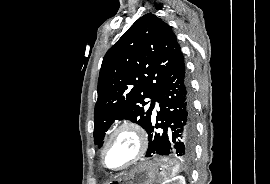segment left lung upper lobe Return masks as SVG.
I'll list each match as a JSON object with an SVG mask.
<instances>
[{"instance_id":"obj_1","label":"left lung upper lobe","mask_w":270,"mask_h":184,"mask_svg":"<svg viewBox=\"0 0 270 184\" xmlns=\"http://www.w3.org/2000/svg\"><path fill=\"white\" fill-rule=\"evenodd\" d=\"M181 54L171 27L148 13L107 51L98 79L94 143L102 146L114 120L129 119L147 130L157 93ZM146 98L152 101L144 102Z\"/></svg>"}]
</instances>
